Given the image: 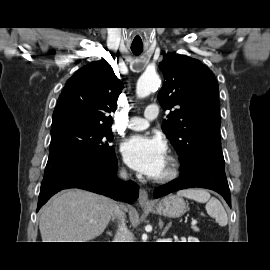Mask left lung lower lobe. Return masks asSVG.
Instances as JSON below:
<instances>
[{
	"mask_svg": "<svg viewBox=\"0 0 270 270\" xmlns=\"http://www.w3.org/2000/svg\"><path fill=\"white\" fill-rule=\"evenodd\" d=\"M224 163L223 156H198L190 164L181 165L180 177L160 186L154 193V197L159 198L180 189L200 187L218 192L231 206Z\"/></svg>",
	"mask_w": 270,
	"mask_h": 270,
	"instance_id": "left-lung-lower-lobe-1",
	"label": "left lung lower lobe"
}]
</instances>
